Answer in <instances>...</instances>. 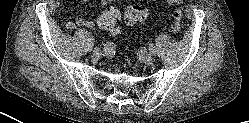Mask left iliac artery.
<instances>
[{"mask_svg": "<svg viewBox=\"0 0 249 123\" xmlns=\"http://www.w3.org/2000/svg\"><path fill=\"white\" fill-rule=\"evenodd\" d=\"M149 51H150V53L153 54V55L156 54V49L154 48L153 45H150V46H149Z\"/></svg>", "mask_w": 249, "mask_h": 123, "instance_id": "left-iliac-artery-1", "label": "left iliac artery"}]
</instances>
